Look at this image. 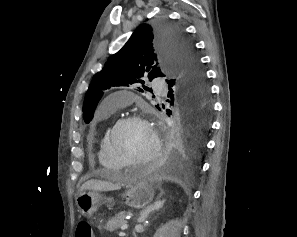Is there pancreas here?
Here are the masks:
<instances>
[{"instance_id": "cf45deb5", "label": "pancreas", "mask_w": 297, "mask_h": 237, "mask_svg": "<svg viewBox=\"0 0 297 237\" xmlns=\"http://www.w3.org/2000/svg\"><path fill=\"white\" fill-rule=\"evenodd\" d=\"M127 216V212L123 211L116 214L113 218H111L107 224L105 225V229L107 231L113 232L120 228L124 223V218Z\"/></svg>"}]
</instances>
